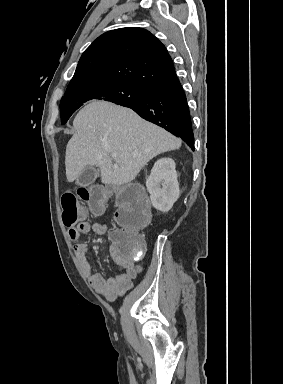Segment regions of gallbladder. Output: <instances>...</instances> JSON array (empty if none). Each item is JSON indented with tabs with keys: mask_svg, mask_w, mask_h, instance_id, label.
<instances>
[{
	"mask_svg": "<svg viewBox=\"0 0 283 384\" xmlns=\"http://www.w3.org/2000/svg\"><path fill=\"white\" fill-rule=\"evenodd\" d=\"M96 176L97 172L95 168H90V166H86L81 176H78L76 184H78V186H81V188H87V186H90V184H93V182H95Z\"/></svg>",
	"mask_w": 283,
	"mask_h": 384,
	"instance_id": "obj_1",
	"label": "gallbladder"
}]
</instances>
